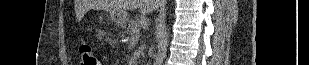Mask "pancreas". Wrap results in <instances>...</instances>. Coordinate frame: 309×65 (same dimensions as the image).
Wrapping results in <instances>:
<instances>
[{
	"mask_svg": "<svg viewBox=\"0 0 309 65\" xmlns=\"http://www.w3.org/2000/svg\"><path fill=\"white\" fill-rule=\"evenodd\" d=\"M141 27L140 21L139 20H133L129 23L128 26V31L130 33H135L137 30Z\"/></svg>",
	"mask_w": 309,
	"mask_h": 65,
	"instance_id": "pancreas-1",
	"label": "pancreas"
}]
</instances>
